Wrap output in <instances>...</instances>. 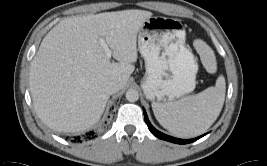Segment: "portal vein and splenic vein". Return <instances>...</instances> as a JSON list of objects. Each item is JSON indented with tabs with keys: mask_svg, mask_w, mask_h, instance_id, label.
Returning a JSON list of instances; mask_svg holds the SVG:
<instances>
[{
	"mask_svg": "<svg viewBox=\"0 0 267 166\" xmlns=\"http://www.w3.org/2000/svg\"><path fill=\"white\" fill-rule=\"evenodd\" d=\"M99 43L100 45L102 46V48L104 49V52L106 54V56L108 58H111V55H112V50L108 47V45L106 44L105 42V39L104 38H100L99 39Z\"/></svg>",
	"mask_w": 267,
	"mask_h": 166,
	"instance_id": "portal-vein-and-splenic-vein-1",
	"label": "portal vein and splenic vein"
}]
</instances>
